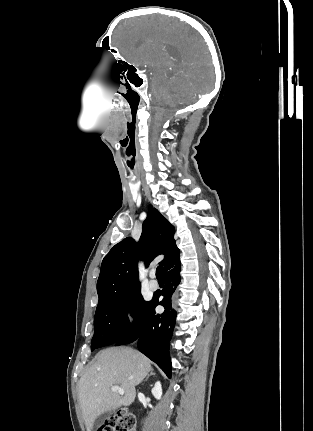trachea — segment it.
Returning <instances> with one entry per match:
<instances>
[{
    "label": "trachea",
    "mask_w": 313,
    "mask_h": 431,
    "mask_svg": "<svg viewBox=\"0 0 313 431\" xmlns=\"http://www.w3.org/2000/svg\"><path fill=\"white\" fill-rule=\"evenodd\" d=\"M156 277H157L158 280L164 278V276H163V266L162 265H159L157 267V269H156Z\"/></svg>",
    "instance_id": "obj_1"
}]
</instances>
